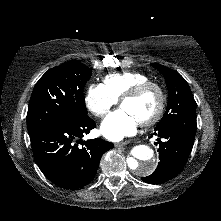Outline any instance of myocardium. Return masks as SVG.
<instances>
[{"label": "myocardium", "instance_id": "1", "mask_svg": "<svg viewBox=\"0 0 221 221\" xmlns=\"http://www.w3.org/2000/svg\"><path fill=\"white\" fill-rule=\"evenodd\" d=\"M149 89L156 90V92L158 93L159 101H158L157 109L154 112V114L150 116L149 118L140 122L142 126L152 125L155 122H157L162 116L164 109H165V102H166V96H165L163 88L158 83L149 80V81L136 85L135 87L127 91L120 98V104L122 105V103L125 100L139 97L140 95H142L144 92H146Z\"/></svg>", "mask_w": 221, "mask_h": 221}]
</instances>
